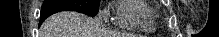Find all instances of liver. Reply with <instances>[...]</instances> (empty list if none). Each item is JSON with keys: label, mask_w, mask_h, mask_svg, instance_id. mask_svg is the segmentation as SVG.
Returning a JSON list of instances; mask_svg holds the SVG:
<instances>
[{"label": "liver", "mask_w": 219, "mask_h": 37, "mask_svg": "<svg viewBox=\"0 0 219 37\" xmlns=\"http://www.w3.org/2000/svg\"><path fill=\"white\" fill-rule=\"evenodd\" d=\"M42 37H100L96 21L84 14L62 11L50 16L41 26Z\"/></svg>", "instance_id": "6515ba94"}]
</instances>
